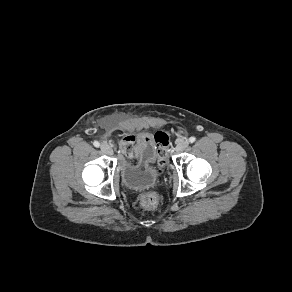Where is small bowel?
Listing matches in <instances>:
<instances>
[{"label": "small bowel", "instance_id": "1", "mask_svg": "<svg viewBox=\"0 0 292 292\" xmlns=\"http://www.w3.org/2000/svg\"><path fill=\"white\" fill-rule=\"evenodd\" d=\"M156 145L155 136L151 134H140L136 138L128 136L120 142V154L130 162L150 165L158 156Z\"/></svg>", "mask_w": 292, "mask_h": 292}]
</instances>
